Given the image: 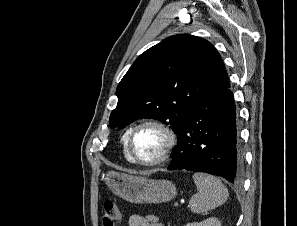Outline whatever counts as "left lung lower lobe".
<instances>
[{"mask_svg":"<svg viewBox=\"0 0 297 226\" xmlns=\"http://www.w3.org/2000/svg\"><path fill=\"white\" fill-rule=\"evenodd\" d=\"M229 87L208 91L185 118L168 170L186 169L221 176L231 183L241 181L236 107Z\"/></svg>","mask_w":297,"mask_h":226,"instance_id":"left-lung-lower-lobe-1","label":"left lung lower lobe"}]
</instances>
